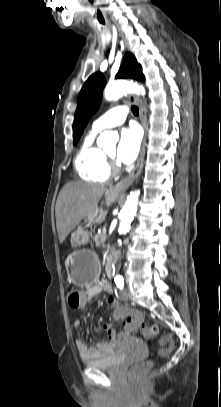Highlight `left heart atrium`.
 Instances as JSON below:
<instances>
[{
	"label": "left heart atrium",
	"mask_w": 221,
	"mask_h": 407,
	"mask_svg": "<svg viewBox=\"0 0 221 407\" xmlns=\"http://www.w3.org/2000/svg\"><path fill=\"white\" fill-rule=\"evenodd\" d=\"M140 143L141 134L136 127L123 129L116 151L117 159L123 164L132 163L138 156Z\"/></svg>",
	"instance_id": "39dd6f15"
}]
</instances>
